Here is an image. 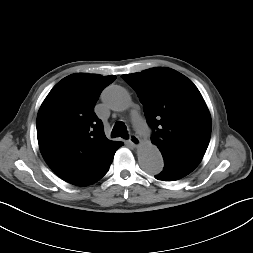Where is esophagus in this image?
Masks as SVG:
<instances>
[{
	"instance_id": "obj_1",
	"label": "esophagus",
	"mask_w": 253,
	"mask_h": 253,
	"mask_svg": "<svg viewBox=\"0 0 253 253\" xmlns=\"http://www.w3.org/2000/svg\"><path fill=\"white\" fill-rule=\"evenodd\" d=\"M129 142L134 147H138L141 144V141H140L139 137L136 136L135 134L130 135Z\"/></svg>"
}]
</instances>
